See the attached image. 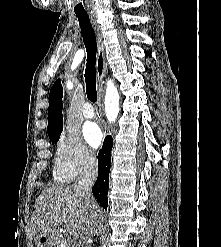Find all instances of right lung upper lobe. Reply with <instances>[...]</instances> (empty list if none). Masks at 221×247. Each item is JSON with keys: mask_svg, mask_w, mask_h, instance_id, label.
I'll list each match as a JSON object with an SVG mask.
<instances>
[{"mask_svg": "<svg viewBox=\"0 0 221 247\" xmlns=\"http://www.w3.org/2000/svg\"><path fill=\"white\" fill-rule=\"evenodd\" d=\"M62 97H63V89L60 79H58L52 86L49 94L48 127H47L49 138L60 136L63 130Z\"/></svg>", "mask_w": 221, "mask_h": 247, "instance_id": "obj_1", "label": "right lung upper lobe"}]
</instances>
